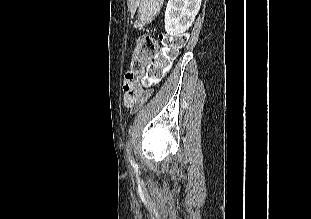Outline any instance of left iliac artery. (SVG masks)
I'll return each instance as SVG.
<instances>
[{
    "instance_id": "44dca946",
    "label": "left iliac artery",
    "mask_w": 311,
    "mask_h": 219,
    "mask_svg": "<svg viewBox=\"0 0 311 219\" xmlns=\"http://www.w3.org/2000/svg\"><path fill=\"white\" fill-rule=\"evenodd\" d=\"M128 148H129V144H127V152H128V154H129V150H128ZM129 161L131 162V163H133V160H132V158H131V156L129 155Z\"/></svg>"
}]
</instances>
